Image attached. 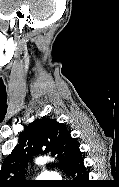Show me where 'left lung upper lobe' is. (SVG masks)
I'll return each instance as SVG.
<instances>
[{"instance_id": "left-lung-upper-lobe-1", "label": "left lung upper lobe", "mask_w": 119, "mask_h": 187, "mask_svg": "<svg viewBox=\"0 0 119 187\" xmlns=\"http://www.w3.org/2000/svg\"><path fill=\"white\" fill-rule=\"evenodd\" d=\"M77 144L63 123L50 118L35 120L25 126L19 143L4 160L0 170V187H22L29 183L23 179L25 164L37 154L57 156L59 164L56 166L65 171L72 148Z\"/></svg>"}]
</instances>
